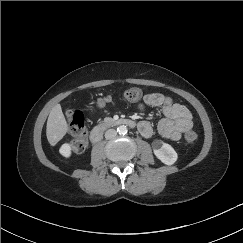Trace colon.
<instances>
[{
  "mask_svg": "<svg viewBox=\"0 0 243 243\" xmlns=\"http://www.w3.org/2000/svg\"><path fill=\"white\" fill-rule=\"evenodd\" d=\"M124 96L130 101H138L142 97V90L139 87H128ZM71 133L75 136L72 142V149L76 153H83L87 148V140L85 138V116L83 112L70 110L67 113ZM186 143H194L198 139V134L195 131H188L184 135Z\"/></svg>",
  "mask_w": 243,
  "mask_h": 243,
  "instance_id": "5ec220e1",
  "label": "colon"
}]
</instances>
